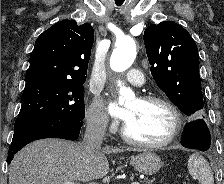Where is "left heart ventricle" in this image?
Masks as SVG:
<instances>
[{
  "instance_id": "left-heart-ventricle-1",
  "label": "left heart ventricle",
  "mask_w": 224,
  "mask_h": 184,
  "mask_svg": "<svg viewBox=\"0 0 224 184\" xmlns=\"http://www.w3.org/2000/svg\"><path fill=\"white\" fill-rule=\"evenodd\" d=\"M127 107L131 116L126 125L132 137L145 142H160L169 135L173 117L167 107L139 99L129 101Z\"/></svg>"
}]
</instances>
